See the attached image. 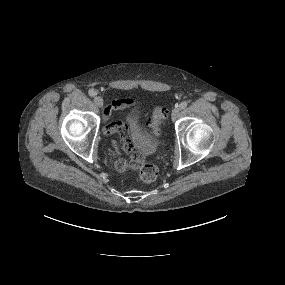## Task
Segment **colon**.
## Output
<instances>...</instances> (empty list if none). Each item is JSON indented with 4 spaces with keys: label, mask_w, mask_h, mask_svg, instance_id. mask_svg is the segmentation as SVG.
Masks as SVG:
<instances>
[{
    "label": "colon",
    "mask_w": 285,
    "mask_h": 285,
    "mask_svg": "<svg viewBox=\"0 0 285 285\" xmlns=\"http://www.w3.org/2000/svg\"><path fill=\"white\" fill-rule=\"evenodd\" d=\"M167 115L166 108L162 106H157L152 111V122L151 127L153 133L158 136L161 131V126ZM113 132H118L123 135V146L127 152L131 154V159L129 160V165L132 168H140V177L144 182H152L158 176V170L156 166L148 163H143L142 157L133 149L129 140L127 139L125 132L120 125L112 126Z\"/></svg>",
    "instance_id": "obj_1"
}]
</instances>
